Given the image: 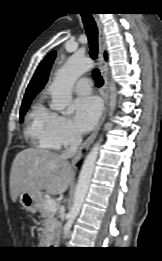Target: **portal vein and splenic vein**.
<instances>
[{"label":"portal vein and splenic vein","mask_w":162,"mask_h":261,"mask_svg":"<svg viewBox=\"0 0 162 261\" xmlns=\"http://www.w3.org/2000/svg\"><path fill=\"white\" fill-rule=\"evenodd\" d=\"M46 209L49 211H55L56 210V201L54 199H47L46 201Z\"/></svg>","instance_id":"1"}]
</instances>
